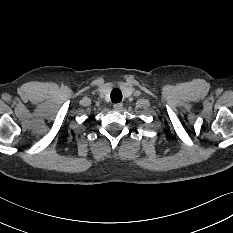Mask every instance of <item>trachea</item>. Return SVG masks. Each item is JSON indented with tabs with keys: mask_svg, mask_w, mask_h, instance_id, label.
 Masks as SVG:
<instances>
[{
	"mask_svg": "<svg viewBox=\"0 0 233 233\" xmlns=\"http://www.w3.org/2000/svg\"><path fill=\"white\" fill-rule=\"evenodd\" d=\"M111 100L114 103L120 102L122 100V92L120 91V89L115 88V89L112 90V92H111Z\"/></svg>",
	"mask_w": 233,
	"mask_h": 233,
	"instance_id": "obj_1",
	"label": "trachea"
}]
</instances>
